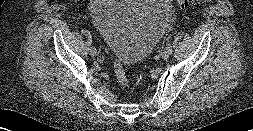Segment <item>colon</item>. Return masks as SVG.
<instances>
[{
  "instance_id": "1",
  "label": "colon",
  "mask_w": 253,
  "mask_h": 131,
  "mask_svg": "<svg viewBox=\"0 0 253 131\" xmlns=\"http://www.w3.org/2000/svg\"><path fill=\"white\" fill-rule=\"evenodd\" d=\"M208 1H212V0H177V5L182 9H186L190 6H198L201 3L208 2ZM114 70H115V74H116L118 82L122 86L128 87L129 86V79H128V77L125 73V70L119 60H115Z\"/></svg>"
}]
</instances>
